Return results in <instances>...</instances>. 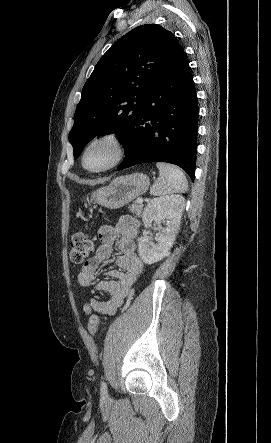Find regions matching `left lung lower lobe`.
I'll use <instances>...</instances> for the list:
<instances>
[{
	"instance_id": "left-lung-lower-lobe-1",
	"label": "left lung lower lobe",
	"mask_w": 271,
	"mask_h": 443,
	"mask_svg": "<svg viewBox=\"0 0 271 443\" xmlns=\"http://www.w3.org/2000/svg\"><path fill=\"white\" fill-rule=\"evenodd\" d=\"M188 63L179 46L153 77L144 112L118 170L140 163L167 162L180 166L194 180L198 103Z\"/></svg>"
}]
</instances>
